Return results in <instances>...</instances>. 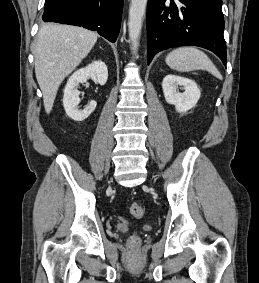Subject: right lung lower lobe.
<instances>
[{
	"instance_id": "right-lung-lower-lobe-1",
	"label": "right lung lower lobe",
	"mask_w": 259,
	"mask_h": 283,
	"mask_svg": "<svg viewBox=\"0 0 259 283\" xmlns=\"http://www.w3.org/2000/svg\"><path fill=\"white\" fill-rule=\"evenodd\" d=\"M123 0H45L43 20L97 31L115 42L121 24Z\"/></svg>"
}]
</instances>
